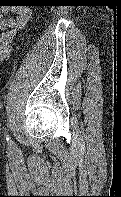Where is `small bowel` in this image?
Here are the masks:
<instances>
[{
  "label": "small bowel",
  "mask_w": 121,
  "mask_h": 197,
  "mask_svg": "<svg viewBox=\"0 0 121 197\" xmlns=\"http://www.w3.org/2000/svg\"><path fill=\"white\" fill-rule=\"evenodd\" d=\"M0 6V62H5L11 56V42L18 31L26 26L30 14L22 5ZM11 13L14 15L12 16Z\"/></svg>",
  "instance_id": "obj_1"
}]
</instances>
